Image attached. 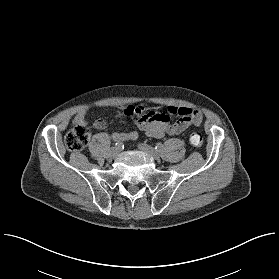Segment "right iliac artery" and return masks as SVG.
<instances>
[{"label": "right iliac artery", "instance_id": "82829eb1", "mask_svg": "<svg viewBox=\"0 0 279 279\" xmlns=\"http://www.w3.org/2000/svg\"><path fill=\"white\" fill-rule=\"evenodd\" d=\"M115 146L121 149L122 143L120 141L115 140Z\"/></svg>", "mask_w": 279, "mask_h": 279}]
</instances>
